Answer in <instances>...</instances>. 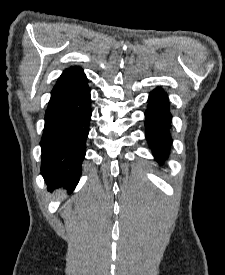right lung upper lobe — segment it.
Wrapping results in <instances>:
<instances>
[{"instance_id": "1", "label": "right lung upper lobe", "mask_w": 225, "mask_h": 275, "mask_svg": "<svg viewBox=\"0 0 225 275\" xmlns=\"http://www.w3.org/2000/svg\"><path fill=\"white\" fill-rule=\"evenodd\" d=\"M86 79L87 78L80 67L72 66L63 72V74L59 77L54 88L79 83L85 81Z\"/></svg>"}]
</instances>
